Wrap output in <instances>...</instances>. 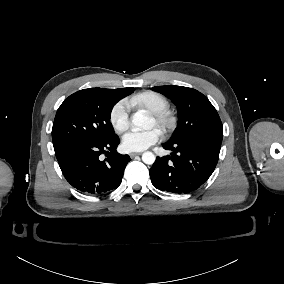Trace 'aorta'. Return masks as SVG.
Returning a JSON list of instances; mask_svg holds the SVG:
<instances>
[{"label": "aorta", "instance_id": "1", "mask_svg": "<svg viewBox=\"0 0 284 284\" xmlns=\"http://www.w3.org/2000/svg\"><path fill=\"white\" fill-rule=\"evenodd\" d=\"M132 123L133 125L143 129H150L152 127V120L144 110H139L134 113ZM155 159V155L149 151L144 152L142 155V161L148 165H152L155 162Z\"/></svg>", "mask_w": 284, "mask_h": 284}]
</instances>
